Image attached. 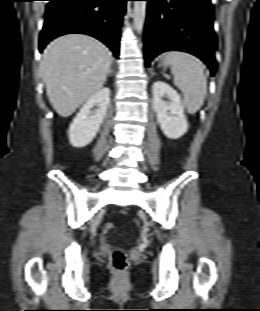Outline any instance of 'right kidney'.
<instances>
[{
    "instance_id": "right-kidney-1",
    "label": "right kidney",
    "mask_w": 260,
    "mask_h": 311,
    "mask_svg": "<svg viewBox=\"0 0 260 311\" xmlns=\"http://www.w3.org/2000/svg\"><path fill=\"white\" fill-rule=\"evenodd\" d=\"M109 104L110 89L104 87L83 105L68 131L69 141L73 147H84L95 138L106 117ZM95 105L98 108L92 113L91 109Z\"/></svg>"
}]
</instances>
